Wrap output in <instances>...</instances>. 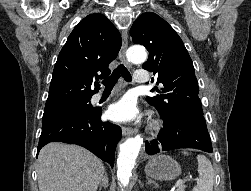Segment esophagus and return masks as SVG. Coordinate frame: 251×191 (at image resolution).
Returning a JSON list of instances; mask_svg holds the SVG:
<instances>
[{"label":"esophagus","instance_id":"1","mask_svg":"<svg viewBox=\"0 0 251 191\" xmlns=\"http://www.w3.org/2000/svg\"><path fill=\"white\" fill-rule=\"evenodd\" d=\"M127 47H128V35H127V31L124 30L122 32V46H121V49H120L119 56L121 58V61L123 63H125L128 67H130L131 65L127 61V58H126ZM132 133H133V129L132 128H127V127H123L122 128V134H123V136H129Z\"/></svg>","mask_w":251,"mask_h":191}]
</instances>
